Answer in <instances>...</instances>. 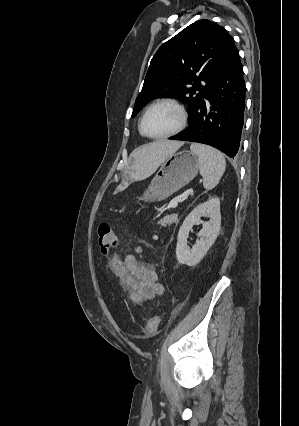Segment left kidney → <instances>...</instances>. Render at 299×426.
Wrapping results in <instances>:
<instances>
[{
	"label": "left kidney",
	"mask_w": 299,
	"mask_h": 426,
	"mask_svg": "<svg viewBox=\"0 0 299 426\" xmlns=\"http://www.w3.org/2000/svg\"><path fill=\"white\" fill-rule=\"evenodd\" d=\"M202 216H208L210 220L203 223V228L198 234L200 240L190 249L187 246L189 232L194 224L200 222ZM220 228L221 213L219 198H210L206 202L196 206L185 218L178 232L176 246V257L178 262L188 266L197 265L215 242Z\"/></svg>",
	"instance_id": "left-kidney-1"
}]
</instances>
